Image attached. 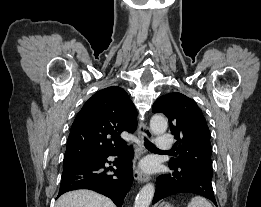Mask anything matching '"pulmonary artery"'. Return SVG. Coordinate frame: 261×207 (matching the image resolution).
<instances>
[{
    "mask_svg": "<svg viewBox=\"0 0 261 207\" xmlns=\"http://www.w3.org/2000/svg\"><path fill=\"white\" fill-rule=\"evenodd\" d=\"M173 146V139L170 134H161L157 138V147L162 151L170 150Z\"/></svg>",
    "mask_w": 261,
    "mask_h": 207,
    "instance_id": "obj_1",
    "label": "pulmonary artery"
}]
</instances>
